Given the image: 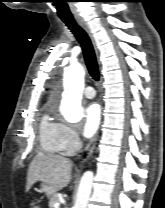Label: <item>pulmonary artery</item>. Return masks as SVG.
<instances>
[{"instance_id": "pulmonary-artery-1", "label": "pulmonary artery", "mask_w": 165, "mask_h": 208, "mask_svg": "<svg viewBox=\"0 0 165 208\" xmlns=\"http://www.w3.org/2000/svg\"><path fill=\"white\" fill-rule=\"evenodd\" d=\"M84 97L88 99H93L96 95L95 90L92 86H86L83 90Z\"/></svg>"}]
</instances>
